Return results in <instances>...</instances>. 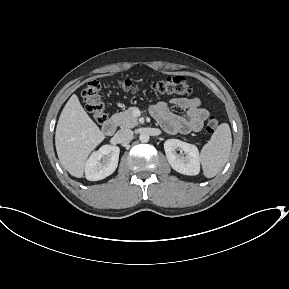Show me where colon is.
Here are the masks:
<instances>
[{"label": "colon", "instance_id": "colon-1", "mask_svg": "<svg viewBox=\"0 0 289 289\" xmlns=\"http://www.w3.org/2000/svg\"><path fill=\"white\" fill-rule=\"evenodd\" d=\"M117 86L125 92L136 93L140 88L131 80L125 79L117 82ZM102 85L98 81H90L82 92L86 108L92 114L95 121L103 124L107 115L105 112V104L101 98ZM150 91L157 94L167 95H186L191 92V85L183 76H170L165 79L153 82ZM220 124L216 116H210L206 123V130L210 133L214 132Z\"/></svg>", "mask_w": 289, "mask_h": 289}]
</instances>
